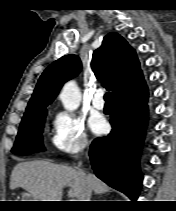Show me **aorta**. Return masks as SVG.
<instances>
[{
  "mask_svg": "<svg viewBox=\"0 0 176 211\" xmlns=\"http://www.w3.org/2000/svg\"><path fill=\"white\" fill-rule=\"evenodd\" d=\"M60 99L64 108L68 111H74L79 107L81 95L78 86L74 81H70L63 87Z\"/></svg>",
  "mask_w": 176,
  "mask_h": 211,
  "instance_id": "aorta-1",
  "label": "aorta"
}]
</instances>
